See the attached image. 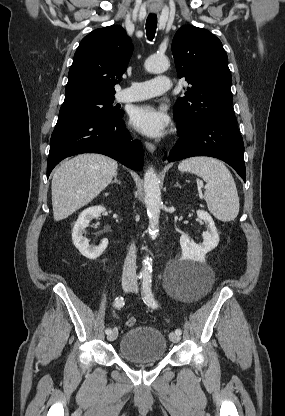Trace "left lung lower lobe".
<instances>
[{
    "mask_svg": "<svg viewBox=\"0 0 285 416\" xmlns=\"http://www.w3.org/2000/svg\"><path fill=\"white\" fill-rule=\"evenodd\" d=\"M180 136L165 160L173 162L193 156H210L225 161L246 181L244 143L235 117L203 120L188 129H178Z\"/></svg>",
    "mask_w": 285,
    "mask_h": 416,
    "instance_id": "left-lung-lower-lobe-1",
    "label": "left lung lower lobe"
}]
</instances>
